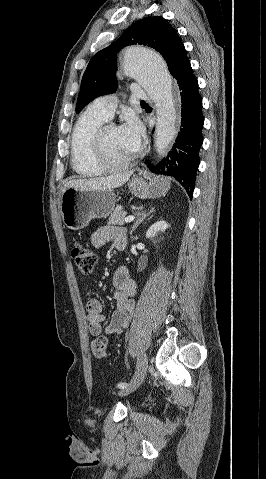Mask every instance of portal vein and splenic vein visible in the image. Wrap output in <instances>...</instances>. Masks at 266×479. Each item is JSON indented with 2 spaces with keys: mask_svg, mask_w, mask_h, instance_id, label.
Masks as SVG:
<instances>
[{
  "mask_svg": "<svg viewBox=\"0 0 266 479\" xmlns=\"http://www.w3.org/2000/svg\"><path fill=\"white\" fill-rule=\"evenodd\" d=\"M135 219V216L131 215V216H127L125 219H124V222H131Z\"/></svg>",
  "mask_w": 266,
  "mask_h": 479,
  "instance_id": "18ae733b",
  "label": "portal vein and splenic vein"
}]
</instances>
